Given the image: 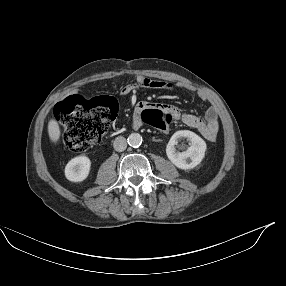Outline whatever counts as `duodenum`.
<instances>
[{
	"label": "duodenum",
	"instance_id": "duodenum-1",
	"mask_svg": "<svg viewBox=\"0 0 286 286\" xmlns=\"http://www.w3.org/2000/svg\"><path fill=\"white\" fill-rule=\"evenodd\" d=\"M140 125H141V122H140L139 119H135V120L133 121V127H134V128H138Z\"/></svg>",
	"mask_w": 286,
	"mask_h": 286
}]
</instances>
